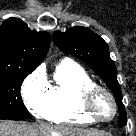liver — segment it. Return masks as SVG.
Instances as JSON below:
<instances>
[{
  "mask_svg": "<svg viewBox=\"0 0 136 136\" xmlns=\"http://www.w3.org/2000/svg\"><path fill=\"white\" fill-rule=\"evenodd\" d=\"M0 136H107V134L96 129L2 121L0 122Z\"/></svg>",
  "mask_w": 136,
  "mask_h": 136,
  "instance_id": "obj_1",
  "label": "liver"
}]
</instances>
